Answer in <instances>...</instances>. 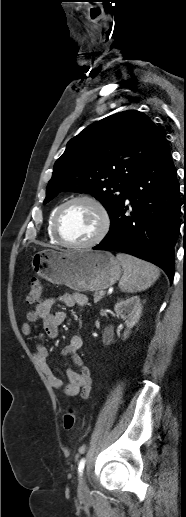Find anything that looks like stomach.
Instances as JSON below:
<instances>
[{
  "mask_svg": "<svg viewBox=\"0 0 186 517\" xmlns=\"http://www.w3.org/2000/svg\"><path fill=\"white\" fill-rule=\"evenodd\" d=\"M31 264L38 276L78 292L106 289L121 275L120 263L110 252L90 249L43 250L33 255Z\"/></svg>",
  "mask_w": 186,
  "mask_h": 517,
  "instance_id": "0dacf381",
  "label": "stomach"
}]
</instances>
